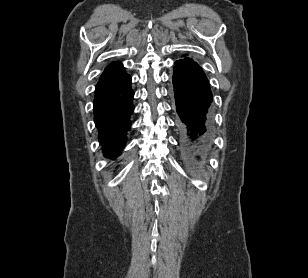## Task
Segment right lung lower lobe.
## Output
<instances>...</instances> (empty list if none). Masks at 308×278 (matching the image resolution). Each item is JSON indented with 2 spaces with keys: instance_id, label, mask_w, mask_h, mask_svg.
Returning a JSON list of instances; mask_svg holds the SVG:
<instances>
[{
  "instance_id": "98d812e1",
  "label": "right lung lower lobe",
  "mask_w": 308,
  "mask_h": 278,
  "mask_svg": "<svg viewBox=\"0 0 308 278\" xmlns=\"http://www.w3.org/2000/svg\"><path fill=\"white\" fill-rule=\"evenodd\" d=\"M133 97L129 75L117 82L96 85L94 121L106 157L116 159L126 143L131 126L129 117L134 110Z\"/></svg>"
}]
</instances>
